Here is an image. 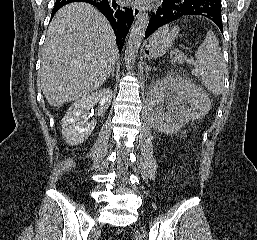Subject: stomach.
I'll list each match as a JSON object with an SVG mask.
<instances>
[{
    "instance_id": "0dacf381",
    "label": "stomach",
    "mask_w": 257,
    "mask_h": 240,
    "mask_svg": "<svg viewBox=\"0 0 257 240\" xmlns=\"http://www.w3.org/2000/svg\"><path fill=\"white\" fill-rule=\"evenodd\" d=\"M169 45L170 42L166 35H163L160 39H151L147 46L148 53L151 57L161 56L166 52Z\"/></svg>"
}]
</instances>
